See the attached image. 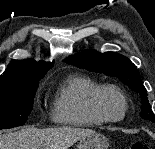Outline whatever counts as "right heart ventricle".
Segmentation results:
<instances>
[{"mask_svg":"<svg viewBox=\"0 0 155 149\" xmlns=\"http://www.w3.org/2000/svg\"><path fill=\"white\" fill-rule=\"evenodd\" d=\"M99 86L94 80L82 75H71L56 92L51 117L61 125L75 127H95L104 125L93 110L91 96Z\"/></svg>","mask_w":155,"mask_h":149,"instance_id":"1","label":"right heart ventricle"}]
</instances>
